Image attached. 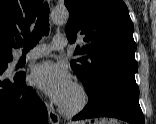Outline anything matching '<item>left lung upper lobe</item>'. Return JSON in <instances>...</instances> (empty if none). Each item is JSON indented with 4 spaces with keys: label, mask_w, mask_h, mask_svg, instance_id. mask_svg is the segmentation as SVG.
<instances>
[{
    "label": "left lung upper lobe",
    "mask_w": 156,
    "mask_h": 124,
    "mask_svg": "<svg viewBox=\"0 0 156 124\" xmlns=\"http://www.w3.org/2000/svg\"><path fill=\"white\" fill-rule=\"evenodd\" d=\"M69 11L66 35L85 42L74 52L82 55L71 62L88 96L105 86L119 84L139 91L135 81L138 64L133 23L122 0H65Z\"/></svg>",
    "instance_id": "5c2ea615"
}]
</instances>
